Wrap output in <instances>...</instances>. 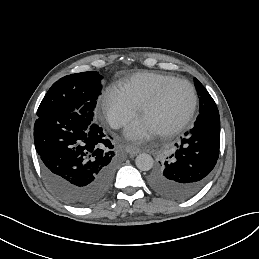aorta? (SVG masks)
Here are the masks:
<instances>
[{
  "mask_svg": "<svg viewBox=\"0 0 259 259\" xmlns=\"http://www.w3.org/2000/svg\"><path fill=\"white\" fill-rule=\"evenodd\" d=\"M135 164L139 170L149 171L153 167L154 160L151 155L142 153L136 157Z\"/></svg>",
  "mask_w": 259,
  "mask_h": 259,
  "instance_id": "762f6f07",
  "label": "aorta"
}]
</instances>
